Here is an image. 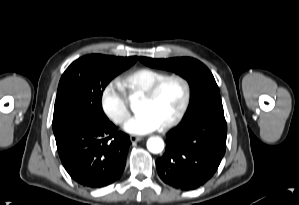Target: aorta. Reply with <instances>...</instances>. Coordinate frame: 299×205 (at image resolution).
<instances>
[{"label":"aorta","mask_w":299,"mask_h":205,"mask_svg":"<svg viewBox=\"0 0 299 205\" xmlns=\"http://www.w3.org/2000/svg\"><path fill=\"white\" fill-rule=\"evenodd\" d=\"M147 148L151 153H160L164 149V141L160 137H151L147 141Z\"/></svg>","instance_id":"1"}]
</instances>
